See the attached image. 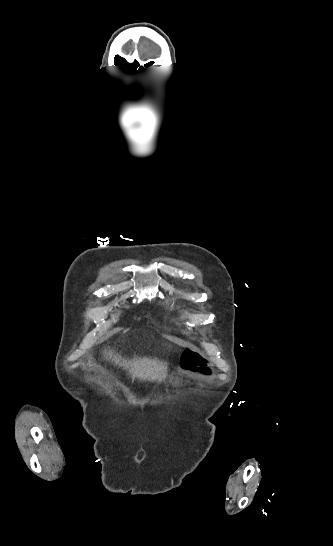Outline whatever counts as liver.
Here are the masks:
<instances>
[{"instance_id": "6515ba94", "label": "liver", "mask_w": 333, "mask_h": 546, "mask_svg": "<svg viewBox=\"0 0 333 546\" xmlns=\"http://www.w3.org/2000/svg\"><path fill=\"white\" fill-rule=\"evenodd\" d=\"M103 354L107 360L112 358L116 364L128 370L133 380L138 378L143 381H161L166 377V364L156 359L135 357L131 360H126L122 359L118 354L114 355L112 350L107 351V349L103 351Z\"/></svg>"}]
</instances>
